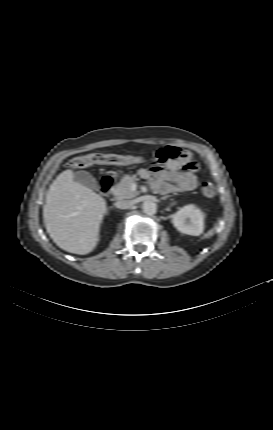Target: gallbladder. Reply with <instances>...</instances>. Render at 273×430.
Segmentation results:
<instances>
[{"mask_svg": "<svg viewBox=\"0 0 273 430\" xmlns=\"http://www.w3.org/2000/svg\"><path fill=\"white\" fill-rule=\"evenodd\" d=\"M74 180L91 189H96L98 186L97 180L89 172L86 171H77L74 174Z\"/></svg>", "mask_w": 273, "mask_h": 430, "instance_id": "1", "label": "gallbladder"}]
</instances>
